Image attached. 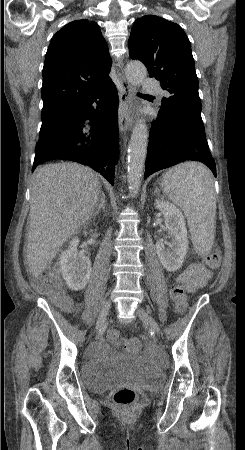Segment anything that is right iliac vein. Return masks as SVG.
Returning a JSON list of instances; mask_svg holds the SVG:
<instances>
[{
  "mask_svg": "<svg viewBox=\"0 0 245 450\" xmlns=\"http://www.w3.org/2000/svg\"><path fill=\"white\" fill-rule=\"evenodd\" d=\"M111 305H112V301L109 299V300H107L104 304H103V306H102V308H101V311H100V314H99V317H98V319H97V323H96V330L98 331L100 328H102L103 327V325H104V323H105V321H106V319H107V316H108V314H109V311H110V309H111Z\"/></svg>",
  "mask_w": 245,
  "mask_h": 450,
  "instance_id": "obj_1",
  "label": "right iliac vein"
}]
</instances>
